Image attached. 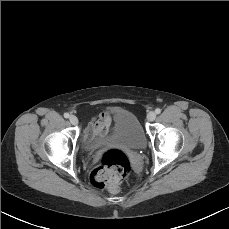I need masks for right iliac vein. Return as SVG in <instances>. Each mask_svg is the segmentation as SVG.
<instances>
[{"label":"right iliac vein","instance_id":"right-iliac-vein-1","mask_svg":"<svg viewBox=\"0 0 229 229\" xmlns=\"http://www.w3.org/2000/svg\"><path fill=\"white\" fill-rule=\"evenodd\" d=\"M69 121H70L71 124H73V125H77V124H78V118H77L76 116H74V115H71V116L69 117Z\"/></svg>","mask_w":229,"mask_h":229}]
</instances>
